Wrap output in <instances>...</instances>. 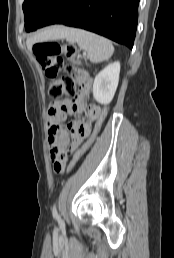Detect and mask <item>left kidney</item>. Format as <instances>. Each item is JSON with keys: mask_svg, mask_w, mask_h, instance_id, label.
Wrapping results in <instances>:
<instances>
[{"mask_svg": "<svg viewBox=\"0 0 174 258\" xmlns=\"http://www.w3.org/2000/svg\"><path fill=\"white\" fill-rule=\"evenodd\" d=\"M120 74V63L107 65L95 77L93 83V97L101 104H109L116 92Z\"/></svg>", "mask_w": 174, "mask_h": 258, "instance_id": "left-kidney-1", "label": "left kidney"}]
</instances>
